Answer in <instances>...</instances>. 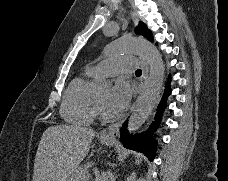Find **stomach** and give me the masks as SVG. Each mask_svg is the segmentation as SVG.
<instances>
[{
	"mask_svg": "<svg viewBox=\"0 0 228 181\" xmlns=\"http://www.w3.org/2000/svg\"><path fill=\"white\" fill-rule=\"evenodd\" d=\"M103 145H110L112 143L114 137H110V135H107V137H100Z\"/></svg>",
	"mask_w": 228,
	"mask_h": 181,
	"instance_id": "obj_1",
	"label": "stomach"
}]
</instances>
